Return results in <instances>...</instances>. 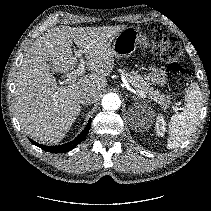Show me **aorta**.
Instances as JSON below:
<instances>
[{"mask_svg":"<svg viewBox=\"0 0 211 211\" xmlns=\"http://www.w3.org/2000/svg\"><path fill=\"white\" fill-rule=\"evenodd\" d=\"M121 105V100L117 94L108 93L102 98V107L105 110H117Z\"/></svg>","mask_w":211,"mask_h":211,"instance_id":"1","label":"aorta"}]
</instances>
